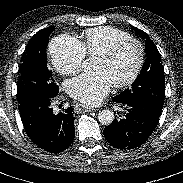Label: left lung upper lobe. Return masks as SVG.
<instances>
[{
  "label": "left lung upper lobe",
  "mask_w": 183,
  "mask_h": 183,
  "mask_svg": "<svg viewBox=\"0 0 183 183\" xmlns=\"http://www.w3.org/2000/svg\"><path fill=\"white\" fill-rule=\"evenodd\" d=\"M132 29L145 39L146 61L131 88L114 98L140 102L161 112L165 97V78L160 53L144 31L133 26Z\"/></svg>",
  "instance_id": "1"
}]
</instances>
